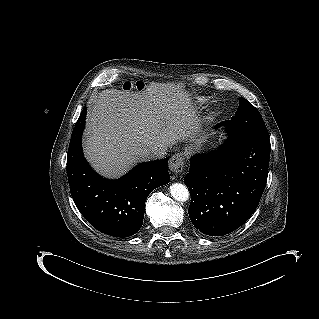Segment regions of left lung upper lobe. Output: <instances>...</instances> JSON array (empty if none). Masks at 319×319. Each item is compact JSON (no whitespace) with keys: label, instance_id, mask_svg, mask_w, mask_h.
<instances>
[{"label":"left lung upper lobe","instance_id":"1","mask_svg":"<svg viewBox=\"0 0 319 319\" xmlns=\"http://www.w3.org/2000/svg\"><path fill=\"white\" fill-rule=\"evenodd\" d=\"M240 105L231 118L224 121L230 136L269 137L268 131L259 111L245 98H239Z\"/></svg>","mask_w":319,"mask_h":319}]
</instances>
